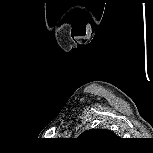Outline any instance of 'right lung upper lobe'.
Segmentation results:
<instances>
[{
	"label": "right lung upper lobe",
	"mask_w": 153,
	"mask_h": 153,
	"mask_svg": "<svg viewBox=\"0 0 153 153\" xmlns=\"http://www.w3.org/2000/svg\"><path fill=\"white\" fill-rule=\"evenodd\" d=\"M115 138L116 135L106 129H90L85 132H83L78 138L84 139V140H95V139H102V138Z\"/></svg>",
	"instance_id": "cb5924a9"
}]
</instances>
